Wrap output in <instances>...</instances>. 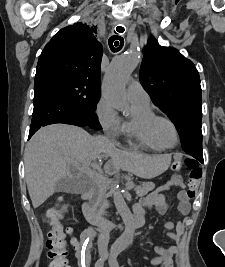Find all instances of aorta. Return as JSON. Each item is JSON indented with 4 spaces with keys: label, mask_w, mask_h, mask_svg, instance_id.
I'll list each match as a JSON object with an SVG mask.
<instances>
[{
    "label": "aorta",
    "mask_w": 225,
    "mask_h": 267,
    "mask_svg": "<svg viewBox=\"0 0 225 267\" xmlns=\"http://www.w3.org/2000/svg\"><path fill=\"white\" fill-rule=\"evenodd\" d=\"M139 61L140 56L137 52L122 54L112 61L104 79L102 94L105 100L113 107L120 110L128 107L125 87L130 74L137 67ZM113 201L117 212L125 224L123 234L113 244V249L121 251L132 242L135 228L133 226L132 213L125 202L120 188L115 189Z\"/></svg>",
    "instance_id": "aorta-1"
}]
</instances>
